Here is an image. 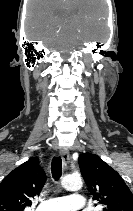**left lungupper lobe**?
<instances>
[{"label": "left lung upper lobe", "mask_w": 133, "mask_h": 211, "mask_svg": "<svg viewBox=\"0 0 133 211\" xmlns=\"http://www.w3.org/2000/svg\"><path fill=\"white\" fill-rule=\"evenodd\" d=\"M78 161L88 190L103 211H133V194L118 172L95 154L83 153Z\"/></svg>", "instance_id": "1"}]
</instances>
